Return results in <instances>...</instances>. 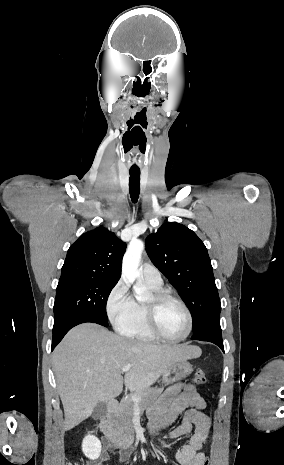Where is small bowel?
<instances>
[{
    "label": "small bowel",
    "mask_w": 284,
    "mask_h": 465,
    "mask_svg": "<svg viewBox=\"0 0 284 465\" xmlns=\"http://www.w3.org/2000/svg\"><path fill=\"white\" fill-rule=\"evenodd\" d=\"M206 402L189 383H177L168 387L148 410V429L153 439L159 438V430L177 420L184 412L182 422L170 433L171 439H179L188 434L185 444L174 451L172 456L178 465H204L205 455L201 451L208 443L211 422L202 410ZM132 455V447L127 446L118 453L119 459L125 461ZM110 453L104 455L97 465H106Z\"/></svg>",
    "instance_id": "1"
}]
</instances>
